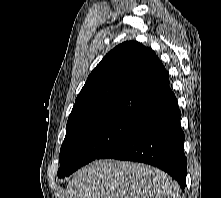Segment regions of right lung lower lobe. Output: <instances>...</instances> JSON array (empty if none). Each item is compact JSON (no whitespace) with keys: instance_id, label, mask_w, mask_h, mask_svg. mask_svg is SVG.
I'll list each match as a JSON object with an SVG mask.
<instances>
[{"instance_id":"obj_1","label":"right lung lower lobe","mask_w":221,"mask_h":198,"mask_svg":"<svg viewBox=\"0 0 221 198\" xmlns=\"http://www.w3.org/2000/svg\"><path fill=\"white\" fill-rule=\"evenodd\" d=\"M175 95L141 119L137 127L97 159H118L155 166L186 186L184 132Z\"/></svg>"}]
</instances>
